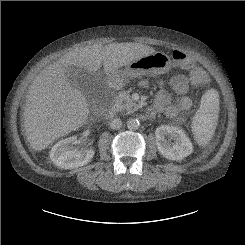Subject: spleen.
I'll list each match as a JSON object with an SVG mask.
<instances>
[{
  "label": "spleen",
  "mask_w": 245,
  "mask_h": 245,
  "mask_svg": "<svg viewBox=\"0 0 245 245\" xmlns=\"http://www.w3.org/2000/svg\"><path fill=\"white\" fill-rule=\"evenodd\" d=\"M219 94L215 89L207 90L202 98L200 108L192 121V131L199 145H206L212 138L219 117Z\"/></svg>",
  "instance_id": "obj_1"
}]
</instances>
